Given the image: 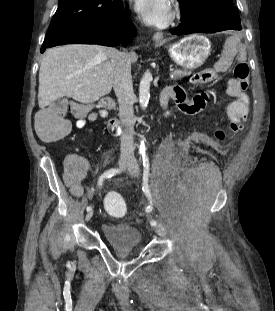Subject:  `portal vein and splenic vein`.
I'll return each mask as SVG.
<instances>
[{
    "label": "portal vein and splenic vein",
    "instance_id": "portal-vein-and-splenic-vein-1",
    "mask_svg": "<svg viewBox=\"0 0 275 311\" xmlns=\"http://www.w3.org/2000/svg\"><path fill=\"white\" fill-rule=\"evenodd\" d=\"M171 73L175 72V69L174 68H170L169 70Z\"/></svg>",
    "mask_w": 275,
    "mask_h": 311
}]
</instances>
